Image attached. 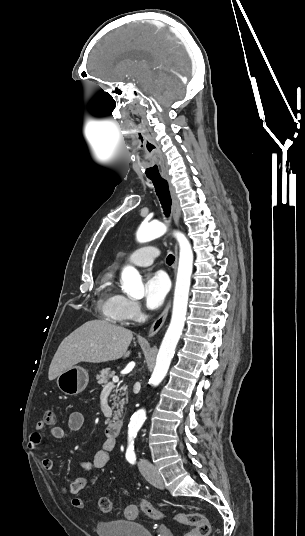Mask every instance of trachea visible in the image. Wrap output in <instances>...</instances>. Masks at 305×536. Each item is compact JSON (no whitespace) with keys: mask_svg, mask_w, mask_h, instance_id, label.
<instances>
[{"mask_svg":"<svg viewBox=\"0 0 305 536\" xmlns=\"http://www.w3.org/2000/svg\"><path fill=\"white\" fill-rule=\"evenodd\" d=\"M149 180L153 182L156 194L162 205L164 215H166V217H169L171 211V196L169 192L168 182L162 177H152L149 178ZM174 261L175 257L172 254H169L166 258V263L168 265H172Z\"/></svg>","mask_w":305,"mask_h":536,"instance_id":"obj_1","label":"trachea"}]
</instances>
